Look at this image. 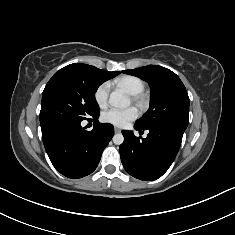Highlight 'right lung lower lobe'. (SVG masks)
Instances as JSON below:
<instances>
[{"label":"right lung lower lobe","mask_w":235,"mask_h":235,"mask_svg":"<svg viewBox=\"0 0 235 235\" xmlns=\"http://www.w3.org/2000/svg\"><path fill=\"white\" fill-rule=\"evenodd\" d=\"M40 124L51 163L58 172L72 179L89 175L96 169L114 135V127L99 123L97 117L92 131H86L78 121L50 119Z\"/></svg>","instance_id":"1"}]
</instances>
